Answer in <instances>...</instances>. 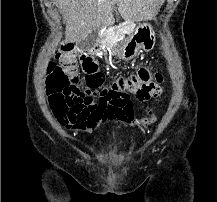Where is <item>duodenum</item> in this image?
Segmentation results:
<instances>
[{
	"instance_id": "1",
	"label": "duodenum",
	"mask_w": 217,
	"mask_h": 202,
	"mask_svg": "<svg viewBox=\"0 0 217 202\" xmlns=\"http://www.w3.org/2000/svg\"><path fill=\"white\" fill-rule=\"evenodd\" d=\"M106 38H109V41H105ZM105 45H107L105 47ZM116 46V38L112 33L103 32L101 39L98 43L91 48L87 53L81 56V62L85 72L93 74L97 72L98 66L94 61V56L103 55L106 57H111L114 55Z\"/></svg>"
}]
</instances>
